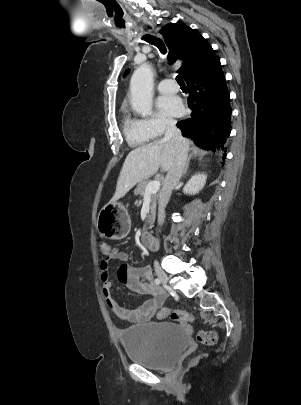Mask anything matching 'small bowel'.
<instances>
[{"label": "small bowel", "instance_id": "c3829d8e", "mask_svg": "<svg viewBox=\"0 0 301 405\" xmlns=\"http://www.w3.org/2000/svg\"><path fill=\"white\" fill-rule=\"evenodd\" d=\"M128 255L124 251L112 249L107 257L102 256L100 268V280L102 282V294L108 306L121 319L132 323H140L151 320L158 308L166 299L164 290L155 286L152 282L150 267H134L127 263ZM118 260L121 262L117 270L119 282L127 285L141 295H148L150 298L140 307L130 309L119 303L111 293L109 281V262Z\"/></svg>", "mask_w": 301, "mask_h": 405}]
</instances>
